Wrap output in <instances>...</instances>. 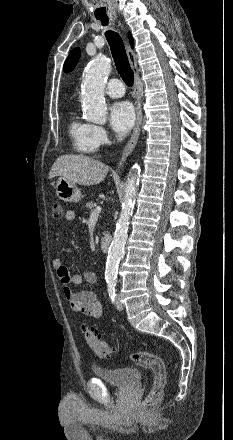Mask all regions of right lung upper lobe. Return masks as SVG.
Listing matches in <instances>:
<instances>
[{
    "mask_svg": "<svg viewBox=\"0 0 233 440\" xmlns=\"http://www.w3.org/2000/svg\"><path fill=\"white\" fill-rule=\"evenodd\" d=\"M129 40L130 43H133V39L131 37V35H129ZM80 57V49L77 47L75 49H73L71 51V53L69 54V56L67 57L64 66H63V70L64 72L68 73L70 71L73 70V68L75 67V65L78 63Z\"/></svg>",
    "mask_w": 233,
    "mask_h": 440,
    "instance_id": "right-lung-upper-lobe-1",
    "label": "right lung upper lobe"
}]
</instances>
